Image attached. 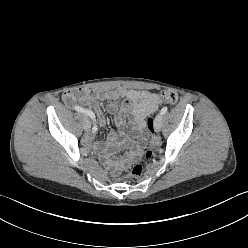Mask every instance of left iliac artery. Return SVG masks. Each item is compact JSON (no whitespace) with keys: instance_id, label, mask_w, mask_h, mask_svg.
Masks as SVG:
<instances>
[{"instance_id":"obj_1","label":"left iliac artery","mask_w":248,"mask_h":248,"mask_svg":"<svg viewBox=\"0 0 248 248\" xmlns=\"http://www.w3.org/2000/svg\"><path fill=\"white\" fill-rule=\"evenodd\" d=\"M167 109H168L167 107H163L160 113L164 115L167 112Z\"/></svg>"}]
</instances>
